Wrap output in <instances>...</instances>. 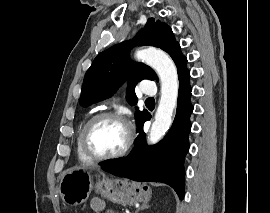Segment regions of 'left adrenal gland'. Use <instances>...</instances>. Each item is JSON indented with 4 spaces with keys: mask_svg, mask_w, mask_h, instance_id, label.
<instances>
[{
    "mask_svg": "<svg viewBox=\"0 0 270 213\" xmlns=\"http://www.w3.org/2000/svg\"><path fill=\"white\" fill-rule=\"evenodd\" d=\"M148 207H149L148 204L144 203V204H142V206L135 213H138V211H140V210L147 209Z\"/></svg>",
    "mask_w": 270,
    "mask_h": 213,
    "instance_id": "obj_1",
    "label": "left adrenal gland"
}]
</instances>
